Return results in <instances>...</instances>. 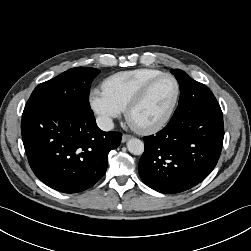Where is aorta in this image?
Here are the masks:
<instances>
[{"instance_id": "aorta-1", "label": "aorta", "mask_w": 251, "mask_h": 251, "mask_svg": "<svg viewBox=\"0 0 251 251\" xmlns=\"http://www.w3.org/2000/svg\"><path fill=\"white\" fill-rule=\"evenodd\" d=\"M127 149L134 155H141L144 152V143L137 138H132L127 142Z\"/></svg>"}]
</instances>
